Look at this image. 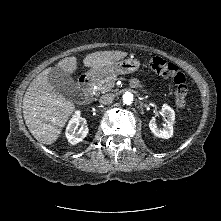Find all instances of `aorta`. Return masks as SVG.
<instances>
[{
	"label": "aorta",
	"instance_id": "762f6f07",
	"mask_svg": "<svg viewBox=\"0 0 221 221\" xmlns=\"http://www.w3.org/2000/svg\"><path fill=\"white\" fill-rule=\"evenodd\" d=\"M123 100L124 102H131L133 101V94L130 93V92H126L124 95H123Z\"/></svg>",
	"mask_w": 221,
	"mask_h": 221
}]
</instances>
